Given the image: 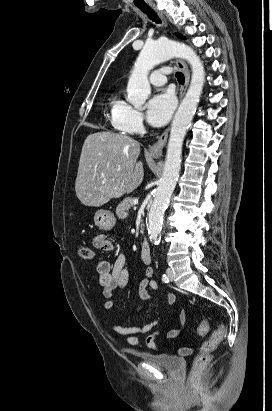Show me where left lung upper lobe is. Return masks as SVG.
Segmentation results:
<instances>
[{
    "label": "left lung upper lobe",
    "instance_id": "left-lung-upper-lobe-1",
    "mask_svg": "<svg viewBox=\"0 0 272 411\" xmlns=\"http://www.w3.org/2000/svg\"><path fill=\"white\" fill-rule=\"evenodd\" d=\"M176 35H177V37L182 38V36L180 34H176Z\"/></svg>",
    "mask_w": 272,
    "mask_h": 411
}]
</instances>
